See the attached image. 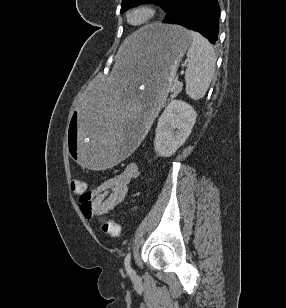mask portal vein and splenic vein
<instances>
[{
  "mask_svg": "<svg viewBox=\"0 0 286 308\" xmlns=\"http://www.w3.org/2000/svg\"><path fill=\"white\" fill-rule=\"evenodd\" d=\"M184 73V71H181V75ZM178 85H180V83H178Z\"/></svg>",
  "mask_w": 286,
  "mask_h": 308,
  "instance_id": "obj_1",
  "label": "portal vein and splenic vein"
}]
</instances>
